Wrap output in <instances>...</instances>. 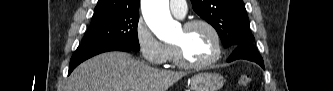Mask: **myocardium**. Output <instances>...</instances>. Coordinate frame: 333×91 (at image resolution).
<instances>
[{
    "label": "myocardium",
    "instance_id": "1",
    "mask_svg": "<svg viewBox=\"0 0 333 91\" xmlns=\"http://www.w3.org/2000/svg\"><path fill=\"white\" fill-rule=\"evenodd\" d=\"M197 26L205 27L213 36L214 42H215V52L214 55L209 58L208 60L202 61V62H192L189 61L182 50V48L179 45H173L174 50V60L177 65L187 68V69H203L211 66L212 64L216 63L222 55V39L220 36V33L216 29V27L211 24L210 22L202 19H194L187 21L184 23L183 28L185 30H191Z\"/></svg>",
    "mask_w": 333,
    "mask_h": 91
}]
</instances>
